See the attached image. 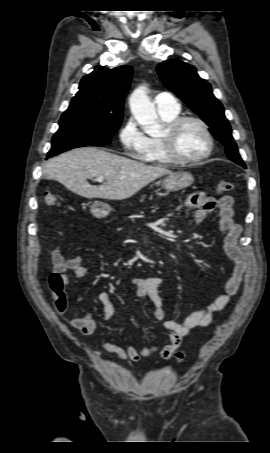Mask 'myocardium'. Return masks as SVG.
<instances>
[{
	"instance_id": "f54148a6",
	"label": "myocardium",
	"mask_w": 270,
	"mask_h": 453,
	"mask_svg": "<svg viewBox=\"0 0 270 453\" xmlns=\"http://www.w3.org/2000/svg\"><path fill=\"white\" fill-rule=\"evenodd\" d=\"M187 122H194L198 124L202 128L206 136V150L195 158H183L179 156L174 149L175 135L180 127ZM159 142L166 157L171 162L182 165L196 164L205 160L210 156L214 148V139L208 124L203 119L196 116H177L176 118L168 122L165 126L163 135L159 137Z\"/></svg>"
}]
</instances>
